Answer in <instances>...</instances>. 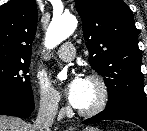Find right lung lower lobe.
Listing matches in <instances>:
<instances>
[{"instance_id": "1", "label": "right lung lower lobe", "mask_w": 147, "mask_h": 131, "mask_svg": "<svg viewBox=\"0 0 147 131\" xmlns=\"http://www.w3.org/2000/svg\"><path fill=\"white\" fill-rule=\"evenodd\" d=\"M34 109L33 96L23 98L15 95L0 93V114L21 118L30 116Z\"/></svg>"}]
</instances>
